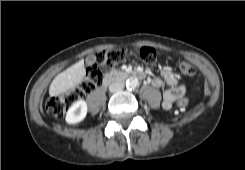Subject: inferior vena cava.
Listing matches in <instances>:
<instances>
[{"label": "inferior vena cava", "instance_id": "602c4592", "mask_svg": "<svg viewBox=\"0 0 245 170\" xmlns=\"http://www.w3.org/2000/svg\"><path fill=\"white\" fill-rule=\"evenodd\" d=\"M123 88H124V83L121 81H116L110 84L109 91L114 93V92L121 91Z\"/></svg>", "mask_w": 245, "mask_h": 170}]
</instances>
